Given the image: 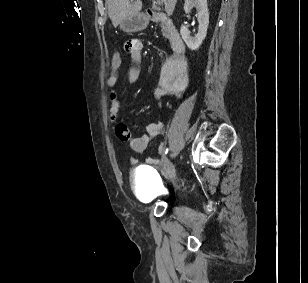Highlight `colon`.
<instances>
[{
  "mask_svg": "<svg viewBox=\"0 0 308 283\" xmlns=\"http://www.w3.org/2000/svg\"><path fill=\"white\" fill-rule=\"evenodd\" d=\"M121 65V55L119 52H115L112 57V68L114 70L118 69Z\"/></svg>",
  "mask_w": 308,
  "mask_h": 283,
  "instance_id": "1",
  "label": "colon"
}]
</instances>
